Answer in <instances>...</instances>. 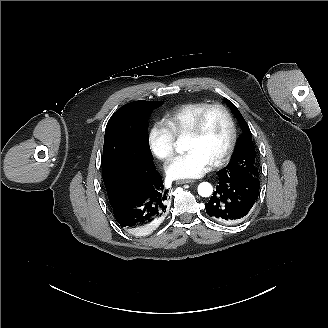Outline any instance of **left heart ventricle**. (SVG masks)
I'll return each instance as SVG.
<instances>
[{
	"mask_svg": "<svg viewBox=\"0 0 328 328\" xmlns=\"http://www.w3.org/2000/svg\"><path fill=\"white\" fill-rule=\"evenodd\" d=\"M230 138L231 127L227 117L221 111H212L206 118L199 135L186 136L185 149L187 151L199 150L213 163L223 155Z\"/></svg>",
	"mask_w": 328,
	"mask_h": 328,
	"instance_id": "obj_1",
	"label": "left heart ventricle"
}]
</instances>
